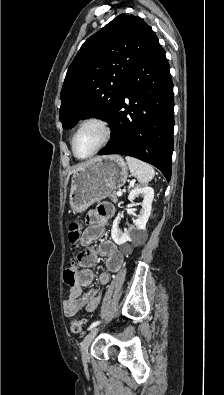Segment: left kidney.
Returning a JSON list of instances; mask_svg holds the SVG:
<instances>
[{
	"label": "left kidney",
	"instance_id": "left-kidney-1",
	"mask_svg": "<svg viewBox=\"0 0 224 395\" xmlns=\"http://www.w3.org/2000/svg\"><path fill=\"white\" fill-rule=\"evenodd\" d=\"M139 195L143 196V202L141 204L142 211L140 215L134 220V226L130 227L128 231L121 232L118 229L120 213L118 214V216L115 218L113 222L111 229V236L114 242L118 245H122L127 241L137 238L146 227V223L151 213L152 201L154 199V189L148 186L135 187L129 193L128 200L131 201Z\"/></svg>",
	"mask_w": 224,
	"mask_h": 395
}]
</instances>
